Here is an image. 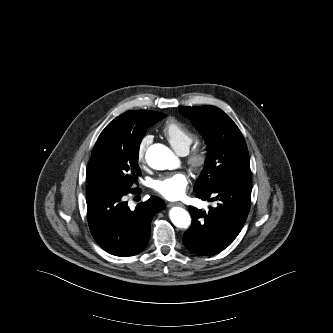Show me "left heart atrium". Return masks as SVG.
<instances>
[{
	"label": "left heart atrium",
	"mask_w": 333,
	"mask_h": 333,
	"mask_svg": "<svg viewBox=\"0 0 333 333\" xmlns=\"http://www.w3.org/2000/svg\"><path fill=\"white\" fill-rule=\"evenodd\" d=\"M188 178L183 173L161 177L154 180L152 188L167 199L181 198L187 189Z\"/></svg>",
	"instance_id": "left-heart-atrium-1"
}]
</instances>
